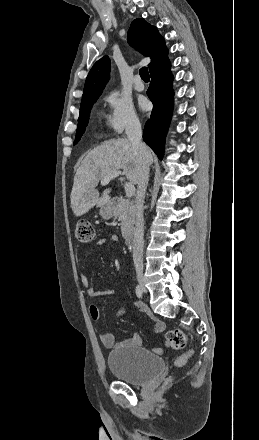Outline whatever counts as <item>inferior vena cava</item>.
I'll return each mask as SVG.
<instances>
[{
    "label": "inferior vena cava",
    "mask_w": 259,
    "mask_h": 440,
    "mask_svg": "<svg viewBox=\"0 0 259 440\" xmlns=\"http://www.w3.org/2000/svg\"><path fill=\"white\" fill-rule=\"evenodd\" d=\"M128 140L139 156L138 189L135 199V227L133 230V262L136 271H143L144 218L143 205L149 180L148 147L142 142V129L138 119H131L126 126Z\"/></svg>",
    "instance_id": "obj_1"
}]
</instances>
